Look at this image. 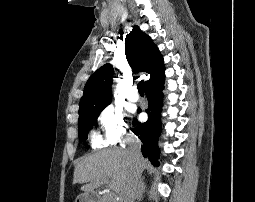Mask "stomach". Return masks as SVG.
Returning a JSON list of instances; mask_svg holds the SVG:
<instances>
[{"mask_svg": "<svg viewBox=\"0 0 255 202\" xmlns=\"http://www.w3.org/2000/svg\"><path fill=\"white\" fill-rule=\"evenodd\" d=\"M75 202H95V201H94V198L91 194L84 193V194L79 195L76 198Z\"/></svg>", "mask_w": 255, "mask_h": 202, "instance_id": "obj_1", "label": "stomach"}]
</instances>
